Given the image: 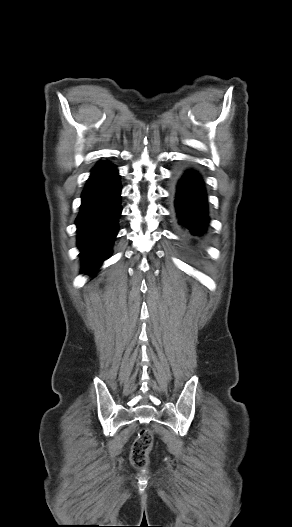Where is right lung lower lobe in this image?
<instances>
[{"instance_id": "right-lung-lower-lobe-1", "label": "right lung lower lobe", "mask_w": 292, "mask_h": 527, "mask_svg": "<svg viewBox=\"0 0 292 527\" xmlns=\"http://www.w3.org/2000/svg\"><path fill=\"white\" fill-rule=\"evenodd\" d=\"M120 193L115 166L108 162L97 164L83 190L81 210L76 219L85 273L93 272L111 253L121 214Z\"/></svg>"}]
</instances>
